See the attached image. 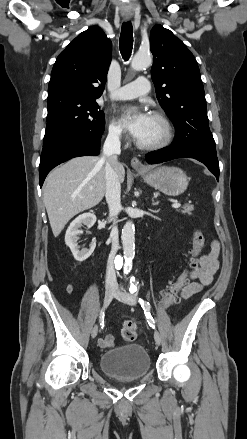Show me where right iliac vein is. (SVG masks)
I'll return each mask as SVG.
<instances>
[{
    "mask_svg": "<svg viewBox=\"0 0 247 439\" xmlns=\"http://www.w3.org/2000/svg\"><path fill=\"white\" fill-rule=\"evenodd\" d=\"M116 290L113 287H107L105 290V296H104V308H106L110 302L112 301ZM98 333V325H95L92 329L91 335L92 338H95Z\"/></svg>",
    "mask_w": 247,
    "mask_h": 439,
    "instance_id": "1",
    "label": "right iliac vein"
}]
</instances>
